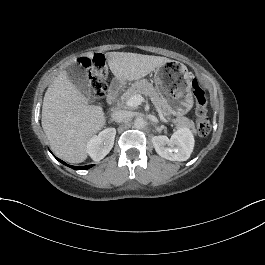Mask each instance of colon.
I'll list each match as a JSON object with an SVG mask.
<instances>
[{"instance_id":"1","label":"colon","mask_w":265,"mask_h":265,"mask_svg":"<svg viewBox=\"0 0 265 265\" xmlns=\"http://www.w3.org/2000/svg\"><path fill=\"white\" fill-rule=\"evenodd\" d=\"M79 62L91 69V86L95 96L98 99L104 98L107 85L106 77V60L103 54H96L92 58L83 57ZM193 94L196 100L197 129L201 136H206L211 131V123L207 115V98L205 91L198 79L194 78L191 82Z\"/></svg>"}]
</instances>
